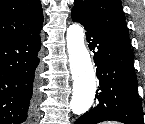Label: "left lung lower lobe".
<instances>
[{
	"instance_id": "1",
	"label": "left lung lower lobe",
	"mask_w": 145,
	"mask_h": 124,
	"mask_svg": "<svg viewBox=\"0 0 145 124\" xmlns=\"http://www.w3.org/2000/svg\"><path fill=\"white\" fill-rule=\"evenodd\" d=\"M72 19L86 30V39L97 66V91H100L96 94L94 106L75 124H97L107 120L144 124L134 71V54L130 47L95 28L76 13L72 12Z\"/></svg>"
}]
</instances>
